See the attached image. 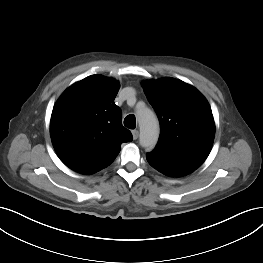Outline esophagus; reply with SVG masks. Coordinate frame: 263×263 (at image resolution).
<instances>
[{
    "label": "esophagus",
    "mask_w": 263,
    "mask_h": 263,
    "mask_svg": "<svg viewBox=\"0 0 263 263\" xmlns=\"http://www.w3.org/2000/svg\"><path fill=\"white\" fill-rule=\"evenodd\" d=\"M132 136H133V139L136 140L138 138V136H139L138 130H133L132 131Z\"/></svg>",
    "instance_id": "34e87169"
}]
</instances>
